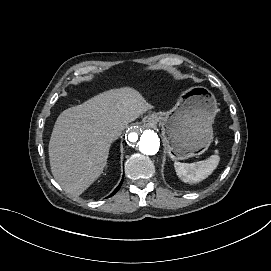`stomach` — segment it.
<instances>
[{"mask_svg": "<svg viewBox=\"0 0 271 271\" xmlns=\"http://www.w3.org/2000/svg\"><path fill=\"white\" fill-rule=\"evenodd\" d=\"M217 105L214 95L203 87L183 93L169 111L145 117L150 126H162L166 153L174 160H183L204 153L213 140L212 123Z\"/></svg>", "mask_w": 271, "mask_h": 271, "instance_id": "0dacf381", "label": "stomach"}]
</instances>
